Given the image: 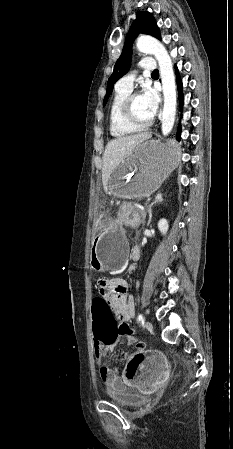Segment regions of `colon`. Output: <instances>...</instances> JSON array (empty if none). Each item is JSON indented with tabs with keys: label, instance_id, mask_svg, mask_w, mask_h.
<instances>
[{
	"label": "colon",
	"instance_id": "1",
	"mask_svg": "<svg viewBox=\"0 0 233 449\" xmlns=\"http://www.w3.org/2000/svg\"><path fill=\"white\" fill-rule=\"evenodd\" d=\"M91 332L94 335L96 349H109L110 343H117L119 331L113 314H111L108 301H91L90 303ZM125 343V339L121 340ZM136 351L129 355L122 354L121 357H128L125 367V377L127 375H137V369L144 367V360L147 352L144 344L138 343Z\"/></svg>",
	"mask_w": 233,
	"mask_h": 449
}]
</instances>
